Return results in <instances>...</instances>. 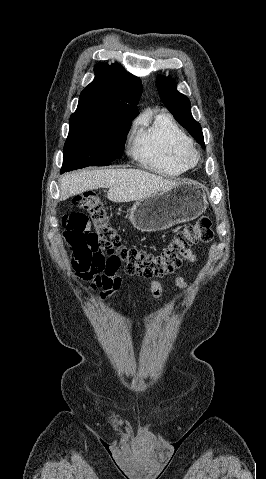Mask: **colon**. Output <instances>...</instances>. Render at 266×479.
I'll return each instance as SVG.
<instances>
[{"label": "colon", "mask_w": 266, "mask_h": 479, "mask_svg": "<svg viewBox=\"0 0 266 479\" xmlns=\"http://www.w3.org/2000/svg\"><path fill=\"white\" fill-rule=\"evenodd\" d=\"M71 206L73 210L62 220L71 248V267L76 277L98 290L101 297L119 289L120 272L146 278L166 276L180 266L191 247L208 243L214 236L211 219L201 217L176 231L161 252H150L121 242L95 192L75 196Z\"/></svg>", "instance_id": "colon-1"}]
</instances>
